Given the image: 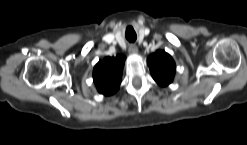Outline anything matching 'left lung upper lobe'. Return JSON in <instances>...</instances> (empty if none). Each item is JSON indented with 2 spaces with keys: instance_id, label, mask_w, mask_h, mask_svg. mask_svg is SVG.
Segmentation results:
<instances>
[{
  "instance_id": "1",
  "label": "left lung upper lobe",
  "mask_w": 247,
  "mask_h": 145,
  "mask_svg": "<svg viewBox=\"0 0 247 145\" xmlns=\"http://www.w3.org/2000/svg\"><path fill=\"white\" fill-rule=\"evenodd\" d=\"M153 79L160 86L169 85L174 78L175 62L173 58L163 50L151 54L147 60Z\"/></svg>"
}]
</instances>
